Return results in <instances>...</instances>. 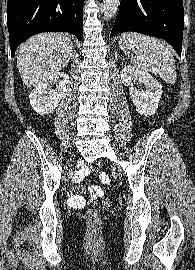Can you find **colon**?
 Wrapping results in <instances>:
<instances>
[{
	"mask_svg": "<svg viewBox=\"0 0 195 270\" xmlns=\"http://www.w3.org/2000/svg\"><path fill=\"white\" fill-rule=\"evenodd\" d=\"M111 204H112V200L111 199H106L104 201V205L106 207L111 206ZM86 219H87V221H88V223L90 225L97 226L99 224V222H100V215H99V213H98L97 210L92 209V210H89L87 212Z\"/></svg>",
	"mask_w": 195,
	"mask_h": 270,
	"instance_id": "1",
	"label": "colon"
}]
</instances>
